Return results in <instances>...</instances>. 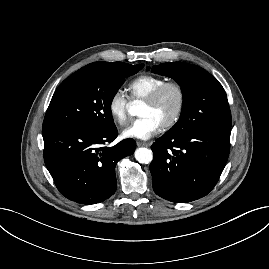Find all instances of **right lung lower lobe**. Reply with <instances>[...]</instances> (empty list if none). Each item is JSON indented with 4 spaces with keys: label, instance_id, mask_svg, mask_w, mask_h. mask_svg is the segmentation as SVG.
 <instances>
[{
    "label": "right lung lower lobe",
    "instance_id": "obj_1",
    "mask_svg": "<svg viewBox=\"0 0 269 269\" xmlns=\"http://www.w3.org/2000/svg\"><path fill=\"white\" fill-rule=\"evenodd\" d=\"M44 161L59 192L80 204H96L117 189L116 163L134 153L136 143L125 139L105 146L118 135L117 128L97 132L61 125L42 131Z\"/></svg>",
    "mask_w": 269,
    "mask_h": 269
}]
</instances>
